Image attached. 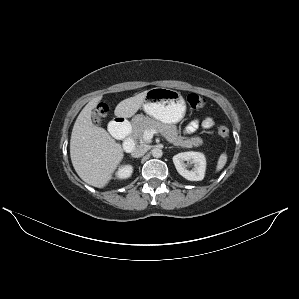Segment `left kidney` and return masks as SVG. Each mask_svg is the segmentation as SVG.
Returning a JSON list of instances; mask_svg holds the SVG:
<instances>
[{"instance_id": "obj_1", "label": "left kidney", "mask_w": 299, "mask_h": 299, "mask_svg": "<svg viewBox=\"0 0 299 299\" xmlns=\"http://www.w3.org/2000/svg\"><path fill=\"white\" fill-rule=\"evenodd\" d=\"M185 161L194 164L192 170L187 169ZM173 163L177 172L190 181H201L205 176L206 159L200 152H182L173 156Z\"/></svg>"}]
</instances>
